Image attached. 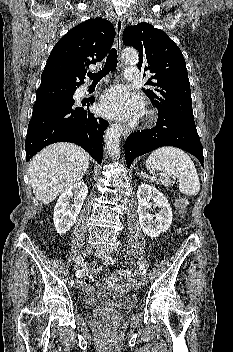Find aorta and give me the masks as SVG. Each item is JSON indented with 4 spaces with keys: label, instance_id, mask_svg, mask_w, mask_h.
<instances>
[{
    "label": "aorta",
    "instance_id": "aorta-1",
    "mask_svg": "<svg viewBox=\"0 0 233 352\" xmlns=\"http://www.w3.org/2000/svg\"><path fill=\"white\" fill-rule=\"evenodd\" d=\"M122 58L127 62H137L138 53L135 49L127 48L122 52ZM123 128L120 124L111 125L105 133V145L109 154L113 158H118L120 155V138Z\"/></svg>",
    "mask_w": 233,
    "mask_h": 352
}]
</instances>
